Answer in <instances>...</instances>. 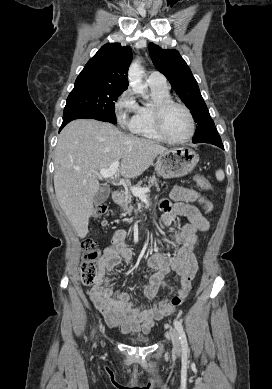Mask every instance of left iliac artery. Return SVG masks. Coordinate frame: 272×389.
Returning <instances> with one entry per match:
<instances>
[{"instance_id":"obj_1","label":"left iliac artery","mask_w":272,"mask_h":389,"mask_svg":"<svg viewBox=\"0 0 272 389\" xmlns=\"http://www.w3.org/2000/svg\"><path fill=\"white\" fill-rule=\"evenodd\" d=\"M174 326L179 333V338L181 341L182 350H183V352L187 353L188 352V344H187V339H186V335H185L183 326L179 320H174Z\"/></svg>"}]
</instances>
